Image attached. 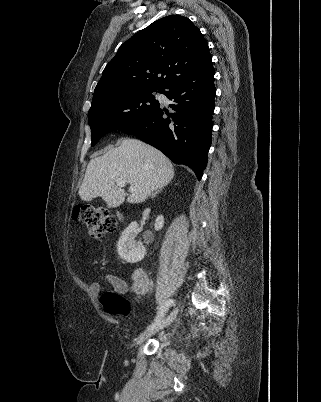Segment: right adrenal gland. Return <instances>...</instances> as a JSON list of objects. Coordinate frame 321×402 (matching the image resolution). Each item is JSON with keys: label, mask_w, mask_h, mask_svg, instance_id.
Wrapping results in <instances>:
<instances>
[{"label": "right adrenal gland", "mask_w": 321, "mask_h": 402, "mask_svg": "<svg viewBox=\"0 0 321 402\" xmlns=\"http://www.w3.org/2000/svg\"><path fill=\"white\" fill-rule=\"evenodd\" d=\"M162 188H159L158 190L155 191V193L152 194V197L155 196L157 194V192H159V190H161Z\"/></svg>", "instance_id": "obj_1"}]
</instances>
